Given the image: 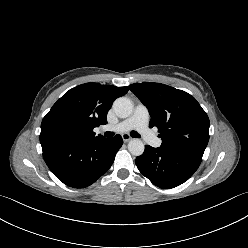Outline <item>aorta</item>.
<instances>
[{"mask_svg": "<svg viewBox=\"0 0 248 248\" xmlns=\"http://www.w3.org/2000/svg\"><path fill=\"white\" fill-rule=\"evenodd\" d=\"M113 110L120 118H127L132 114L133 104L126 97L117 98L113 103ZM128 150L134 156H140L144 152V144L140 139H132L128 143Z\"/></svg>", "mask_w": 248, "mask_h": 248, "instance_id": "762f6f07", "label": "aorta"}]
</instances>
